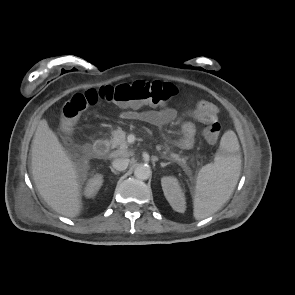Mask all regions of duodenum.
Here are the masks:
<instances>
[{
  "label": "duodenum",
  "instance_id": "duodenum-1",
  "mask_svg": "<svg viewBox=\"0 0 295 295\" xmlns=\"http://www.w3.org/2000/svg\"><path fill=\"white\" fill-rule=\"evenodd\" d=\"M93 152L98 156L105 155L109 150V143L105 139H99L93 144Z\"/></svg>",
  "mask_w": 295,
  "mask_h": 295
}]
</instances>
